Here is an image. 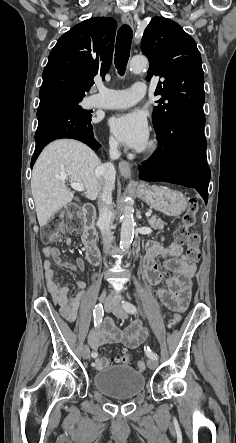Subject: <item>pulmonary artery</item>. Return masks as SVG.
Segmentation results:
<instances>
[{
	"label": "pulmonary artery",
	"mask_w": 236,
	"mask_h": 443,
	"mask_svg": "<svg viewBox=\"0 0 236 443\" xmlns=\"http://www.w3.org/2000/svg\"><path fill=\"white\" fill-rule=\"evenodd\" d=\"M97 90V93L87 98L88 108L118 109L137 103L145 95L146 85L143 82H137L126 90H112L98 83ZM102 96H110L111 99L104 100L101 99Z\"/></svg>",
	"instance_id": "1"
}]
</instances>
